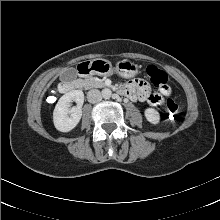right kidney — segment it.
I'll use <instances>...</instances> for the list:
<instances>
[{"label":"right kidney","instance_id":"obj_1","mask_svg":"<svg viewBox=\"0 0 220 220\" xmlns=\"http://www.w3.org/2000/svg\"><path fill=\"white\" fill-rule=\"evenodd\" d=\"M73 101L77 103V106L70 107ZM83 103L84 93L81 90H72L63 95L53 112L55 128L61 132H69L74 129L82 117Z\"/></svg>","mask_w":220,"mask_h":220}]
</instances>
